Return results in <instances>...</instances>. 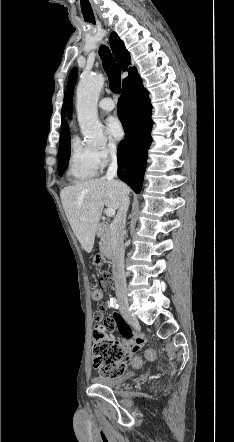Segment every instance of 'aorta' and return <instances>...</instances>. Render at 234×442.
Instances as JSON below:
<instances>
[{"instance_id":"1","label":"aorta","mask_w":234,"mask_h":442,"mask_svg":"<svg viewBox=\"0 0 234 442\" xmlns=\"http://www.w3.org/2000/svg\"><path fill=\"white\" fill-rule=\"evenodd\" d=\"M104 77L101 74L84 75L77 88V114L81 131L91 144L105 142L102 124L98 119L97 103Z\"/></svg>"}]
</instances>
